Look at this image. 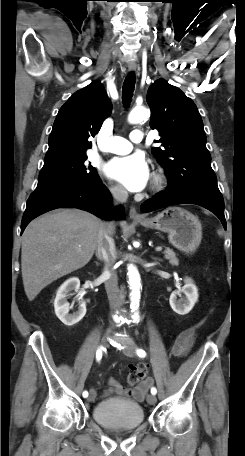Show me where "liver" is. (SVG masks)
<instances>
[{
	"label": "liver",
	"mask_w": 245,
	"mask_h": 456,
	"mask_svg": "<svg viewBox=\"0 0 245 456\" xmlns=\"http://www.w3.org/2000/svg\"><path fill=\"white\" fill-rule=\"evenodd\" d=\"M102 221L79 209H60L33 220L22 236L21 271L29 301L47 285L92 258ZM112 234L115 227L110 224Z\"/></svg>",
	"instance_id": "6515ba94"
}]
</instances>
